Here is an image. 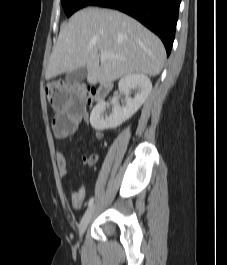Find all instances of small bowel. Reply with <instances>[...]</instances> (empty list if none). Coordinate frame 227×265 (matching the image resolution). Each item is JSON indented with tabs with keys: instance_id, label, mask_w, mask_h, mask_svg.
Instances as JSON below:
<instances>
[{
	"instance_id": "c3829d8e",
	"label": "small bowel",
	"mask_w": 227,
	"mask_h": 265,
	"mask_svg": "<svg viewBox=\"0 0 227 265\" xmlns=\"http://www.w3.org/2000/svg\"><path fill=\"white\" fill-rule=\"evenodd\" d=\"M52 107L55 115L52 121L54 135L59 139L73 135L81 122H89V114L86 110L87 100L84 91H79V87H56L54 96H51ZM95 138L102 139V130H95ZM87 166L96 164L98 155L93 153L82 158ZM57 166L59 176L65 178L68 175L69 163L63 153L57 154ZM85 200V190L82 187L75 189L71 194V202L74 209L82 208Z\"/></svg>"
}]
</instances>
